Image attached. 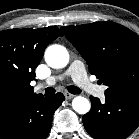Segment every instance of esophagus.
Masks as SVG:
<instances>
[{
  "label": "esophagus",
  "mask_w": 139,
  "mask_h": 139,
  "mask_svg": "<svg viewBox=\"0 0 139 139\" xmlns=\"http://www.w3.org/2000/svg\"><path fill=\"white\" fill-rule=\"evenodd\" d=\"M64 96H65V98H66L67 100H70V99H72V98L74 97L73 94L68 93V92L64 93Z\"/></svg>",
  "instance_id": "esophagus-1"
}]
</instances>
